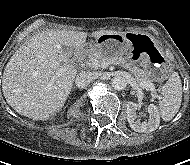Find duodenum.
<instances>
[{"label": "duodenum", "instance_id": "obj_1", "mask_svg": "<svg viewBox=\"0 0 190 165\" xmlns=\"http://www.w3.org/2000/svg\"><path fill=\"white\" fill-rule=\"evenodd\" d=\"M92 47V44H85L82 47L78 48L76 50V56L77 58H82L84 55L89 51V49Z\"/></svg>", "mask_w": 190, "mask_h": 165}]
</instances>
